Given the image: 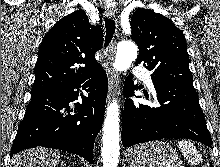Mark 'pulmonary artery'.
I'll return each instance as SVG.
<instances>
[{
  "instance_id": "1",
  "label": "pulmonary artery",
  "mask_w": 220,
  "mask_h": 167,
  "mask_svg": "<svg viewBox=\"0 0 220 167\" xmlns=\"http://www.w3.org/2000/svg\"><path fill=\"white\" fill-rule=\"evenodd\" d=\"M134 75L142 78L143 82L147 86L150 91H155L153 81L149 75V73L142 67L137 66L133 69Z\"/></svg>"
}]
</instances>
